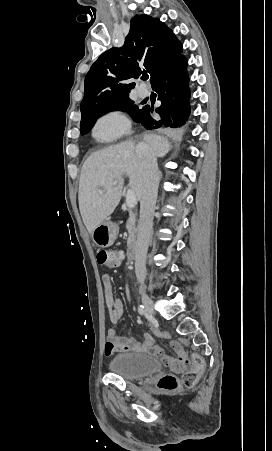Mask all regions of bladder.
Masks as SVG:
<instances>
[{
    "instance_id": "1",
    "label": "bladder",
    "mask_w": 272,
    "mask_h": 451,
    "mask_svg": "<svg viewBox=\"0 0 272 451\" xmlns=\"http://www.w3.org/2000/svg\"><path fill=\"white\" fill-rule=\"evenodd\" d=\"M108 367L112 375L123 377L127 382H137L157 373L162 364L150 355L119 353L109 360Z\"/></svg>"
}]
</instances>
